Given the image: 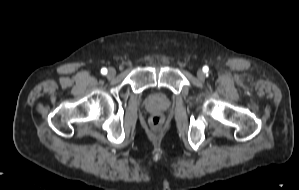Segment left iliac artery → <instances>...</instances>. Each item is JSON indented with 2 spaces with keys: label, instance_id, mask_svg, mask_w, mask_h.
<instances>
[{
  "label": "left iliac artery",
  "instance_id": "44dca946",
  "mask_svg": "<svg viewBox=\"0 0 299 190\" xmlns=\"http://www.w3.org/2000/svg\"><path fill=\"white\" fill-rule=\"evenodd\" d=\"M203 70H204L205 72H207V71H208V67L205 66V67L203 68Z\"/></svg>",
  "mask_w": 299,
  "mask_h": 190
}]
</instances>
